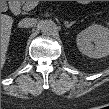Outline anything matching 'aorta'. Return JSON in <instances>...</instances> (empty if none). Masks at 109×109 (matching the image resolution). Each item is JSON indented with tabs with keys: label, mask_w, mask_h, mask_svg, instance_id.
Returning <instances> with one entry per match:
<instances>
[{
	"label": "aorta",
	"mask_w": 109,
	"mask_h": 109,
	"mask_svg": "<svg viewBox=\"0 0 109 109\" xmlns=\"http://www.w3.org/2000/svg\"><path fill=\"white\" fill-rule=\"evenodd\" d=\"M40 30L44 35H53L57 31V25L52 20H43L40 22Z\"/></svg>",
	"instance_id": "obj_1"
}]
</instances>
